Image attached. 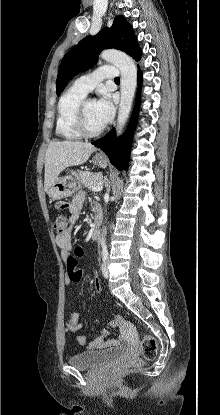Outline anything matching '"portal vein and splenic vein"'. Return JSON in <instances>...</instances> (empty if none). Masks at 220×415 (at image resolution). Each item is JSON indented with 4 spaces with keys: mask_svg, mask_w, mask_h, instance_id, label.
I'll list each match as a JSON object with an SVG mask.
<instances>
[{
    "mask_svg": "<svg viewBox=\"0 0 220 415\" xmlns=\"http://www.w3.org/2000/svg\"><path fill=\"white\" fill-rule=\"evenodd\" d=\"M103 189V185L102 183L98 184L97 186H95L94 188H92V191L94 192H99Z\"/></svg>",
    "mask_w": 220,
    "mask_h": 415,
    "instance_id": "1",
    "label": "portal vein and splenic vein"
}]
</instances>
